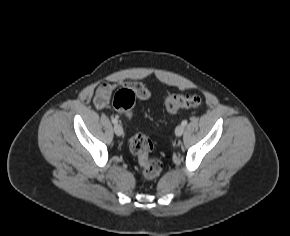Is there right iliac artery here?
Here are the masks:
<instances>
[{"label":"right iliac artery","mask_w":290,"mask_h":236,"mask_svg":"<svg viewBox=\"0 0 290 236\" xmlns=\"http://www.w3.org/2000/svg\"><path fill=\"white\" fill-rule=\"evenodd\" d=\"M112 123L117 124L118 123L117 119H112Z\"/></svg>","instance_id":"1"}]
</instances>
